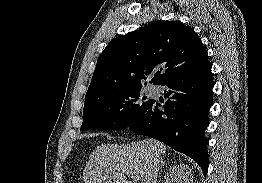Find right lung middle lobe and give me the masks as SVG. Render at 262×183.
Wrapping results in <instances>:
<instances>
[{"mask_svg": "<svg viewBox=\"0 0 262 183\" xmlns=\"http://www.w3.org/2000/svg\"><path fill=\"white\" fill-rule=\"evenodd\" d=\"M141 87L85 102L81 130L127 128L151 104Z\"/></svg>", "mask_w": 262, "mask_h": 183, "instance_id": "right-lung-middle-lobe-1", "label": "right lung middle lobe"}]
</instances>
